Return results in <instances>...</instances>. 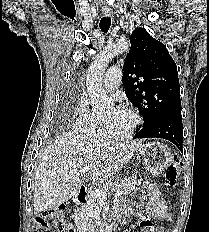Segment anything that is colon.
<instances>
[{
  "label": "colon",
  "instance_id": "5ec220e1",
  "mask_svg": "<svg viewBox=\"0 0 209 232\" xmlns=\"http://www.w3.org/2000/svg\"><path fill=\"white\" fill-rule=\"evenodd\" d=\"M180 169L181 162L177 157H174L165 173L164 184L167 187L176 185ZM52 226L59 232H74V227L65 219L64 209L61 207L45 210L33 219L34 232H53Z\"/></svg>",
  "mask_w": 209,
  "mask_h": 232
}]
</instances>
